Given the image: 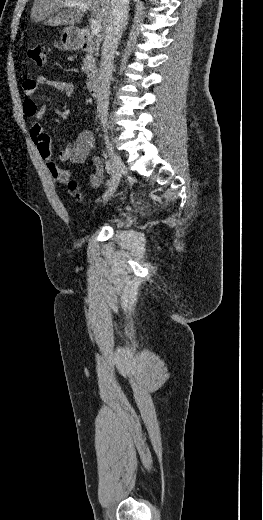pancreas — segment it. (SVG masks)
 <instances>
[{
	"instance_id": "cf45deb5",
	"label": "pancreas",
	"mask_w": 263,
	"mask_h": 520,
	"mask_svg": "<svg viewBox=\"0 0 263 520\" xmlns=\"http://www.w3.org/2000/svg\"><path fill=\"white\" fill-rule=\"evenodd\" d=\"M94 67H95V58L93 57L92 54L86 55V57L83 61L82 70L85 73H88L89 71L93 70Z\"/></svg>"
}]
</instances>
